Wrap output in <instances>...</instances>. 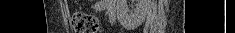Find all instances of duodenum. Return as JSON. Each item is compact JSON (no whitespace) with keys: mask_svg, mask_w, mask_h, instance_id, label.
<instances>
[{"mask_svg":"<svg viewBox=\"0 0 235 33\" xmlns=\"http://www.w3.org/2000/svg\"><path fill=\"white\" fill-rule=\"evenodd\" d=\"M105 3H107L106 1H101L100 2V4H105ZM109 10V13L111 14V15H113V10L112 9H108Z\"/></svg>","mask_w":235,"mask_h":33,"instance_id":"duodenum-1","label":"duodenum"}]
</instances>
